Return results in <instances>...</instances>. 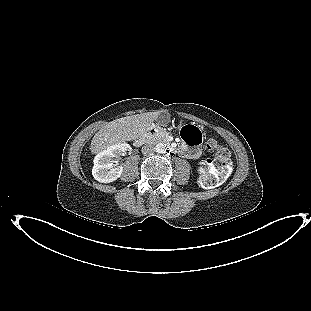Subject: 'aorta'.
Instances as JSON below:
<instances>
[{
    "label": "aorta",
    "instance_id": "762f6f07",
    "mask_svg": "<svg viewBox=\"0 0 311 311\" xmlns=\"http://www.w3.org/2000/svg\"><path fill=\"white\" fill-rule=\"evenodd\" d=\"M155 151L159 154H163L166 152V144L165 143H158L155 146Z\"/></svg>",
    "mask_w": 311,
    "mask_h": 311
}]
</instances>
